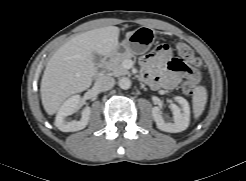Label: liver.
Returning a JSON list of instances; mask_svg holds the SVG:
<instances>
[{
	"instance_id": "1",
	"label": "liver",
	"mask_w": 246,
	"mask_h": 181,
	"mask_svg": "<svg viewBox=\"0 0 246 181\" xmlns=\"http://www.w3.org/2000/svg\"><path fill=\"white\" fill-rule=\"evenodd\" d=\"M119 28L108 26L79 34L63 44L49 59L41 80L42 105L55 114L69 96L91 86L95 73L93 53L110 55L119 44ZM133 31L127 32L126 37Z\"/></svg>"
}]
</instances>
